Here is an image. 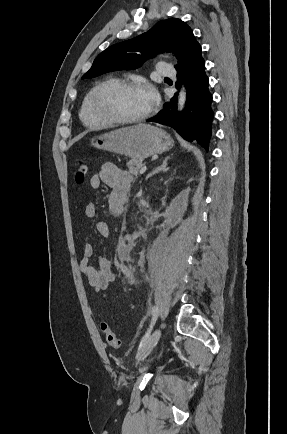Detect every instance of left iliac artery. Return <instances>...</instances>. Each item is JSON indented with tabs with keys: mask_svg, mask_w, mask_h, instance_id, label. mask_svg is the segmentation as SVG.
Returning a JSON list of instances; mask_svg holds the SVG:
<instances>
[{
	"mask_svg": "<svg viewBox=\"0 0 287 434\" xmlns=\"http://www.w3.org/2000/svg\"><path fill=\"white\" fill-rule=\"evenodd\" d=\"M158 315H159L158 308L156 306H153V308H152V320H151V323H150V326H149L148 330L146 331L145 335L141 339V342H140L139 347H138V351L143 346V344L145 343V341L148 339V337H149V335H150V333H151V331L153 329V326L155 324V321H156Z\"/></svg>",
	"mask_w": 287,
	"mask_h": 434,
	"instance_id": "1",
	"label": "left iliac artery"
}]
</instances>
